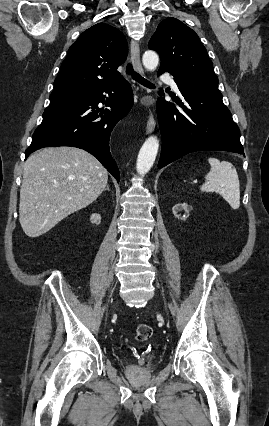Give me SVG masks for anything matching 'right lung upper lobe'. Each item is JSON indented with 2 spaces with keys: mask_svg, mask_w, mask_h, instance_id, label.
Wrapping results in <instances>:
<instances>
[{
  "mask_svg": "<svg viewBox=\"0 0 269 426\" xmlns=\"http://www.w3.org/2000/svg\"><path fill=\"white\" fill-rule=\"evenodd\" d=\"M128 54L125 36L115 27L98 23L71 45L54 81L53 92L111 86L123 80L117 68Z\"/></svg>",
  "mask_w": 269,
  "mask_h": 426,
  "instance_id": "cb5924a9",
  "label": "right lung upper lobe"
}]
</instances>
